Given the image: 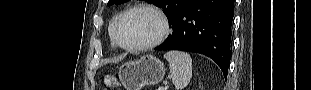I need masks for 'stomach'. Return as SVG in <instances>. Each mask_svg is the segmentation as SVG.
<instances>
[{"instance_id":"0dacf381","label":"stomach","mask_w":311,"mask_h":90,"mask_svg":"<svg viewBox=\"0 0 311 90\" xmlns=\"http://www.w3.org/2000/svg\"><path fill=\"white\" fill-rule=\"evenodd\" d=\"M165 66L158 58L146 55L137 61L123 64L118 72L120 83L126 90H141L146 85L158 84L165 75ZM106 87L118 84L116 77L104 75Z\"/></svg>"}]
</instances>
